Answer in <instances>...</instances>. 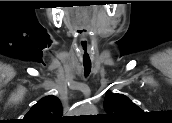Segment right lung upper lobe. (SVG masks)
Instances as JSON below:
<instances>
[{"label": "right lung upper lobe", "mask_w": 172, "mask_h": 123, "mask_svg": "<svg viewBox=\"0 0 172 123\" xmlns=\"http://www.w3.org/2000/svg\"><path fill=\"white\" fill-rule=\"evenodd\" d=\"M26 123H60L62 117V105L55 96H46L39 100L23 118Z\"/></svg>", "instance_id": "cb5924a9"}]
</instances>
